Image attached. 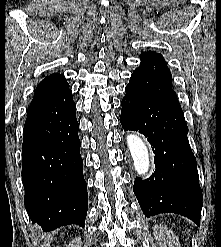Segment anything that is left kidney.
I'll use <instances>...</instances> for the list:
<instances>
[{
    "label": "left kidney",
    "instance_id": "5707ae66",
    "mask_svg": "<svg viewBox=\"0 0 221 247\" xmlns=\"http://www.w3.org/2000/svg\"><path fill=\"white\" fill-rule=\"evenodd\" d=\"M153 235L159 247H181L178 238L166 226L155 225Z\"/></svg>",
    "mask_w": 221,
    "mask_h": 247
}]
</instances>
